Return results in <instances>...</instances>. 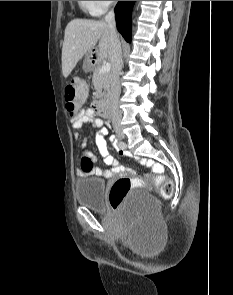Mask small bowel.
Wrapping results in <instances>:
<instances>
[{"label": "small bowel", "instance_id": "small-bowel-1", "mask_svg": "<svg viewBox=\"0 0 233 295\" xmlns=\"http://www.w3.org/2000/svg\"><path fill=\"white\" fill-rule=\"evenodd\" d=\"M71 122L75 130L81 129V127L86 123H92V125L97 128H101L104 124L103 120L99 118L98 116H96V113L93 111V109L80 110L72 118ZM107 134H108L107 129L103 128L100 131V133L96 136L95 143L100 155L103 158L105 165L109 166V169L94 167L95 158L92 155V153L87 149L85 143H83L82 145V154H83V157L88 158L93 163V168L91 171L92 174L99 177H103V178H112L119 173L129 171V169L123 164H121L115 157H113L110 154L107 147V142L105 140V136H107ZM110 141L115 144L120 154L125 153L124 149L118 147L115 137H111ZM140 162L143 165L152 168L155 172H160L162 170V167L160 164L154 163L150 159H142L140 160Z\"/></svg>", "mask_w": 233, "mask_h": 295}]
</instances>
